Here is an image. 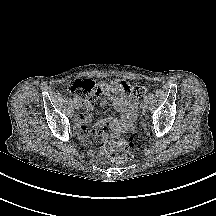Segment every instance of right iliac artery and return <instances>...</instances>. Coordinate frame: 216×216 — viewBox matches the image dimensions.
Returning a JSON list of instances; mask_svg holds the SVG:
<instances>
[{"instance_id": "82829eb1", "label": "right iliac artery", "mask_w": 216, "mask_h": 216, "mask_svg": "<svg viewBox=\"0 0 216 216\" xmlns=\"http://www.w3.org/2000/svg\"><path fill=\"white\" fill-rule=\"evenodd\" d=\"M74 99V102L77 104L79 101L77 98H73Z\"/></svg>"}]
</instances>
